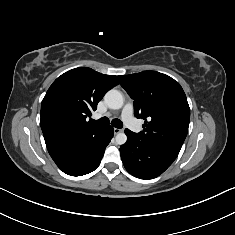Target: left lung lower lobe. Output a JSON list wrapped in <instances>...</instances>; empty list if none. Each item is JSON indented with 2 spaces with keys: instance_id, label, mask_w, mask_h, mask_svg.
Wrapping results in <instances>:
<instances>
[{
  "instance_id": "1",
  "label": "left lung lower lobe",
  "mask_w": 235,
  "mask_h": 235,
  "mask_svg": "<svg viewBox=\"0 0 235 235\" xmlns=\"http://www.w3.org/2000/svg\"><path fill=\"white\" fill-rule=\"evenodd\" d=\"M127 142L120 147L126 170L141 179H152L162 174L176 159L178 153L148 142L126 129Z\"/></svg>"
}]
</instances>
